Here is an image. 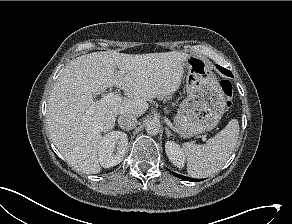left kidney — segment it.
I'll return each mask as SVG.
<instances>
[{"mask_svg": "<svg viewBox=\"0 0 292 224\" xmlns=\"http://www.w3.org/2000/svg\"><path fill=\"white\" fill-rule=\"evenodd\" d=\"M165 151L170 161L182 169L185 165V156L180 146L174 141H167L165 143Z\"/></svg>", "mask_w": 292, "mask_h": 224, "instance_id": "5707ae66", "label": "left kidney"}]
</instances>
